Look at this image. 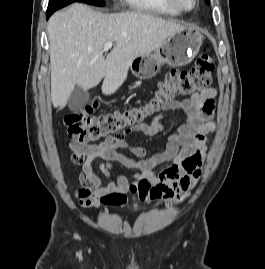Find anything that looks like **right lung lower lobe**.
I'll return each instance as SVG.
<instances>
[{"label":"right lung lower lobe","mask_w":265,"mask_h":269,"mask_svg":"<svg viewBox=\"0 0 265 269\" xmlns=\"http://www.w3.org/2000/svg\"><path fill=\"white\" fill-rule=\"evenodd\" d=\"M71 3H73V2H61V3L49 4L48 8H47L46 18L48 19L53 12H55L56 10H58L60 8L65 7Z\"/></svg>","instance_id":"obj_1"}]
</instances>
